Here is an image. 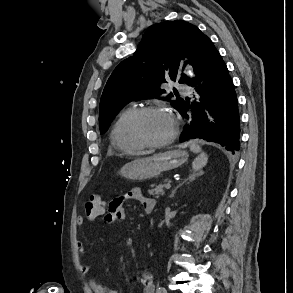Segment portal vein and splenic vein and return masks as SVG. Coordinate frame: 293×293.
Masks as SVG:
<instances>
[{
	"instance_id": "18ae733b",
	"label": "portal vein and splenic vein",
	"mask_w": 293,
	"mask_h": 293,
	"mask_svg": "<svg viewBox=\"0 0 293 293\" xmlns=\"http://www.w3.org/2000/svg\"><path fill=\"white\" fill-rule=\"evenodd\" d=\"M165 188H166L167 190H169V189L171 188V184H170V183H167L166 186H165Z\"/></svg>"
}]
</instances>
